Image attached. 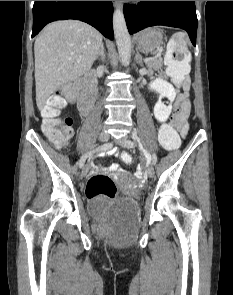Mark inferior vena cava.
Here are the masks:
<instances>
[{
  "instance_id": "602c4592",
  "label": "inferior vena cava",
  "mask_w": 233,
  "mask_h": 295,
  "mask_svg": "<svg viewBox=\"0 0 233 295\" xmlns=\"http://www.w3.org/2000/svg\"><path fill=\"white\" fill-rule=\"evenodd\" d=\"M100 68H101V69H104V67H103V66H100Z\"/></svg>"
}]
</instances>
